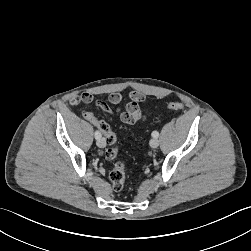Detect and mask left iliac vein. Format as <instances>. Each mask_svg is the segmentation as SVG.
I'll return each instance as SVG.
<instances>
[{
    "label": "left iliac vein",
    "instance_id": "left-iliac-vein-1",
    "mask_svg": "<svg viewBox=\"0 0 251 251\" xmlns=\"http://www.w3.org/2000/svg\"><path fill=\"white\" fill-rule=\"evenodd\" d=\"M150 146H151L152 148H157V147L159 146V141H158V139H157V138H152V139L150 140Z\"/></svg>",
    "mask_w": 251,
    "mask_h": 251
}]
</instances>
